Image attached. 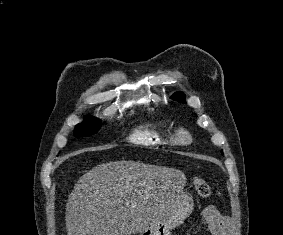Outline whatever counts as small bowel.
Wrapping results in <instances>:
<instances>
[{"label": "small bowel", "instance_id": "small-bowel-1", "mask_svg": "<svg viewBox=\"0 0 283 235\" xmlns=\"http://www.w3.org/2000/svg\"><path fill=\"white\" fill-rule=\"evenodd\" d=\"M203 223L209 228L212 235H228L229 221L213 206H206L202 211Z\"/></svg>", "mask_w": 283, "mask_h": 235}]
</instances>
